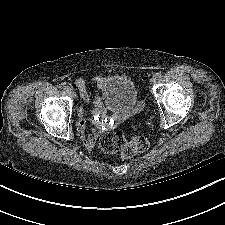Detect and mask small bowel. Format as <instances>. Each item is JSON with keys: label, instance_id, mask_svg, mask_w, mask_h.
<instances>
[{"label": "small bowel", "instance_id": "small-bowel-1", "mask_svg": "<svg viewBox=\"0 0 225 225\" xmlns=\"http://www.w3.org/2000/svg\"><path fill=\"white\" fill-rule=\"evenodd\" d=\"M93 83L96 85L102 87L107 82V77L102 75H95L92 79ZM76 86L80 91V94L82 98L85 101V104H88L90 102L89 95L87 93L86 89V81L82 78H79L76 80ZM103 108L102 103L99 98H96L94 100V106L90 111V115L86 109V106H81L78 111V129L80 132V135L82 137V140L86 147L92 148L95 145L96 137L99 132V128L95 127L91 131H88L86 128V123L89 119H91L93 122H98L100 117L102 116Z\"/></svg>", "mask_w": 225, "mask_h": 225}]
</instances>
